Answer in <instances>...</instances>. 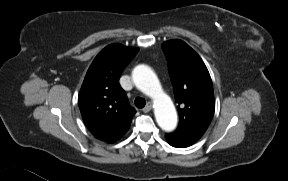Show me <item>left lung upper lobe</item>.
<instances>
[{
	"instance_id": "left-lung-upper-lobe-1",
	"label": "left lung upper lobe",
	"mask_w": 288,
	"mask_h": 181,
	"mask_svg": "<svg viewBox=\"0 0 288 181\" xmlns=\"http://www.w3.org/2000/svg\"><path fill=\"white\" fill-rule=\"evenodd\" d=\"M168 61L180 124L177 132L205 133L215 111L212 80L199 55L181 40L162 44Z\"/></svg>"
}]
</instances>
